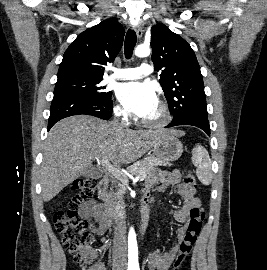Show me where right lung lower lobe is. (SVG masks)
<instances>
[{
    "label": "right lung lower lobe",
    "instance_id": "right-lung-lower-lobe-1",
    "mask_svg": "<svg viewBox=\"0 0 267 270\" xmlns=\"http://www.w3.org/2000/svg\"><path fill=\"white\" fill-rule=\"evenodd\" d=\"M113 103L107 100H84L73 97H54L50 108L48 131L59 120L79 114L92 115L104 120L112 116Z\"/></svg>",
    "mask_w": 267,
    "mask_h": 270
}]
</instances>
